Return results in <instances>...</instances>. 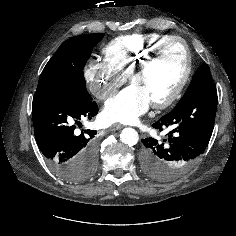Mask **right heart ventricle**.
I'll return each mask as SVG.
<instances>
[{
  "label": "right heart ventricle",
  "instance_id": "obj_1",
  "mask_svg": "<svg viewBox=\"0 0 236 236\" xmlns=\"http://www.w3.org/2000/svg\"><path fill=\"white\" fill-rule=\"evenodd\" d=\"M171 38L174 36L159 33L121 36L110 41L103 53L112 66L128 76L156 46Z\"/></svg>",
  "mask_w": 236,
  "mask_h": 236
}]
</instances>
